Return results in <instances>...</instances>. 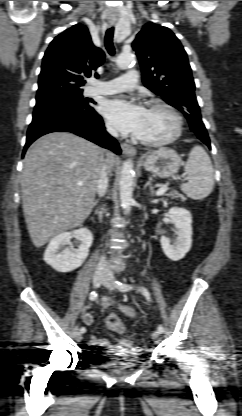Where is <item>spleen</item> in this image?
Returning <instances> with one entry per match:
<instances>
[{
	"label": "spleen",
	"mask_w": 242,
	"mask_h": 416,
	"mask_svg": "<svg viewBox=\"0 0 242 416\" xmlns=\"http://www.w3.org/2000/svg\"><path fill=\"white\" fill-rule=\"evenodd\" d=\"M187 183L181 190L194 200L207 197L214 187V170L209 155L201 146H194L185 164Z\"/></svg>",
	"instance_id": "spleen-1"
}]
</instances>
